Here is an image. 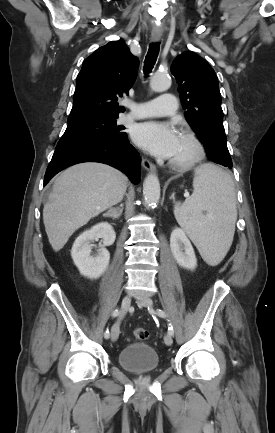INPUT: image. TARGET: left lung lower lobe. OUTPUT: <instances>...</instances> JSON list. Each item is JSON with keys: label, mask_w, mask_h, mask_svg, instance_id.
<instances>
[{"label": "left lung lower lobe", "mask_w": 275, "mask_h": 433, "mask_svg": "<svg viewBox=\"0 0 275 433\" xmlns=\"http://www.w3.org/2000/svg\"><path fill=\"white\" fill-rule=\"evenodd\" d=\"M223 166H226V167L232 168V164H225V165H223Z\"/></svg>", "instance_id": "obj_1"}]
</instances>
